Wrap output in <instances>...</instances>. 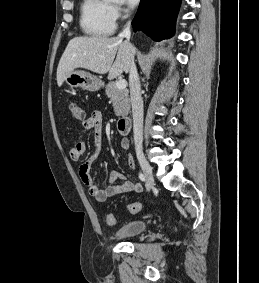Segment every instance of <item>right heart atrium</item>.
I'll return each mask as SVG.
<instances>
[{"label": "right heart atrium", "mask_w": 259, "mask_h": 283, "mask_svg": "<svg viewBox=\"0 0 259 283\" xmlns=\"http://www.w3.org/2000/svg\"><path fill=\"white\" fill-rule=\"evenodd\" d=\"M112 12L115 19L121 18L123 16V9L118 5L112 6Z\"/></svg>", "instance_id": "obj_1"}]
</instances>
